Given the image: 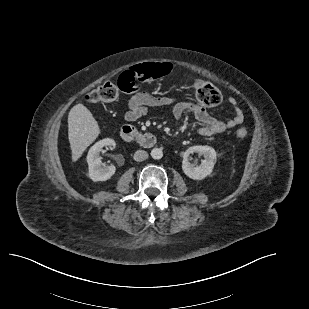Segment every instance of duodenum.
I'll use <instances>...</instances> for the list:
<instances>
[{"mask_svg": "<svg viewBox=\"0 0 309 309\" xmlns=\"http://www.w3.org/2000/svg\"><path fill=\"white\" fill-rule=\"evenodd\" d=\"M120 135L125 142H137L146 148L153 147L157 142V138L153 133L141 132L131 125L123 126Z\"/></svg>", "mask_w": 309, "mask_h": 309, "instance_id": "duodenum-1", "label": "duodenum"}]
</instances>
